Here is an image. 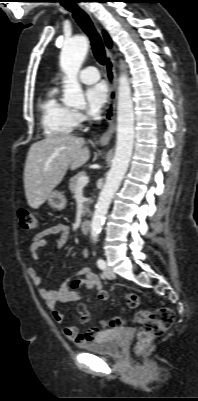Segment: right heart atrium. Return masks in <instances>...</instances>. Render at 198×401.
<instances>
[{"label":"right heart atrium","instance_id":"right-heart-atrium-1","mask_svg":"<svg viewBox=\"0 0 198 401\" xmlns=\"http://www.w3.org/2000/svg\"><path fill=\"white\" fill-rule=\"evenodd\" d=\"M77 123H80L84 120V116L81 113H75Z\"/></svg>","mask_w":198,"mask_h":401}]
</instances>
